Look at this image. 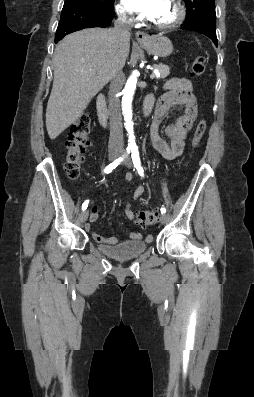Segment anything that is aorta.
<instances>
[{
	"instance_id": "obj_1",
	"label": "aorta",
	"mask_w": 254,
	"mask_h": 397,
	"mask_svg": "<svg viewBox=\"0 0 254 397\" xmlns=\"http://www.w3.org/2000/svg\"><path fill=\"white\" fill-rule=\"evenodd\" d=\"M137 75L134 72L127 80L125 88L123 90L122 97V112L125 120V127L129 134V146H135V136L133 131V121H132V99L136 88Z\"/></svg>"
}]
</instances>
